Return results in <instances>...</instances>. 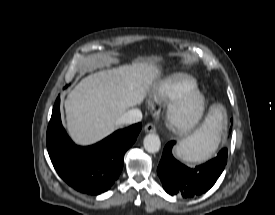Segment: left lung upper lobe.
Instances as JSON below:
<instances>
[{
    "mask_svg": "<svg viewBox=\"0 0 275 215\" xmlns=\"http://www.w3.org/2000/svg\"><path fill=\"white\" fill-rule=\"evenodd\" d=\"M218 155L227 158V150H226V149H222V150L219 152Z\"/></svg>",
    "mask_w": 275,
    "mask_h": 215,
    "instance_id": "left-lung-upper-lobe-1",
    "label": "left lung upper lobe"
}]
</instances>
